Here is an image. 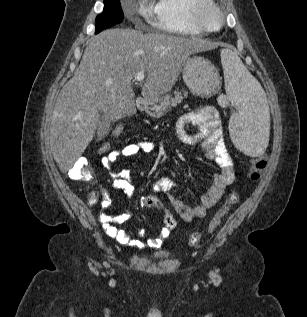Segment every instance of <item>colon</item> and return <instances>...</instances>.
<instances>
[{"label":"colon","mask_w":307,"mask_h":317,"mask_svg":"<svg viewBox=\"0 0 307 317\" xmlns=\"http://www.w3.org/2000/svg\"><path fill=\"white\" fill-rule=\"evenodd\" d=\"M124 129V125L122 123L118 124L112 133V137L115 139L119 137ZM111 151H113V144L112 141L104 142L100 145L98 152L100 155H107ZM268 158L267 156H260L256 157L251 160V167L248 171V178L250 181L255 182L258 181L263 171L267 166ZM70 176L73 179L78 180H86L92 181L95 179V172L90 163L85 159H79L74 166L70 170ZM239 201V193L236 190H232L228 193L226 201L223 207L217 212L214 218L211 220L208 226V232H212L215 230L219 224L221 223L222 219L228 213V211ZM145 204L147 207H158L160 202L158 198L155 196H146ZM164 223L167 230H173L177 223L174 216L170 213H166L164 216ZM202 239V234L198 232L190 233L188 236V244L191 246L198 245Z\"/></svg>","instance_id":"colon-1"}]
</instances>
